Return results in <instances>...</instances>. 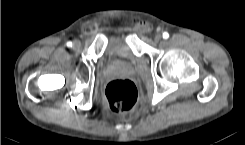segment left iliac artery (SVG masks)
Here are the masks:
<instances>
[{"mask_svg": "<svg viewBox=\"0 0 245 145\" xmlns=\"http://www.w3.org/2000/svg\"><path fill=\"white\" fill-rule=\"evenodd\" d=\"M168 37H169V34H168L167 32H164V33H163V38H164V39H167Z\"/></svg>", "mask_w": 245, "mask_h": 145, "instance_id": "1", "label": "left iliac artery"}]
</instances>
